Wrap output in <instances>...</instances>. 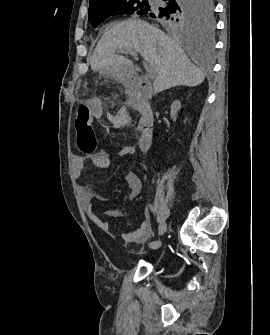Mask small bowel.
I'll use <instances>...</instances> for the list:
<instances>
[{
  "label": "small bowel",
  "instance_id": "1",
  "mask_svg": "<svg viewBox=\"0 0 270 335\" xmlns=\"http://www.w3.org/2000/svg\"><path fill=\"white\" fill-rule=\"evenodd\" d=\"M88 106L92 110V115L94 118L99 119L103 115L102 109L98 106L96 100L88 101ZM136 153V149L133 145L124 146L119 155L120 157L131 156ZM88 161L94 162L96 165L105 167L110 163V157L104 153H96L90 156L76 155L74 157V173L77 178H80L86 163ZM125 182L127 184L128 190L126 194V201L128 204L132 203L142 190V181L138 173L134 170H129L125 174ZM81 196L83 205L88 218L102 231L112 234L109 223L103 218L99 217L94 209L93 199L102 198L103 194L99 189H82ZM110 216L121 217L124 215L122 210H112L109 212ZM145 219L141 222L139 227L130 233H124L122 238L125 242H142L148 239L151 235V224L149 220L148 210L144 211Z\"/></svg>",
  "mask_w": 270,
  "mask_h": 335
}]
</instances>
